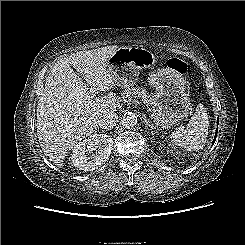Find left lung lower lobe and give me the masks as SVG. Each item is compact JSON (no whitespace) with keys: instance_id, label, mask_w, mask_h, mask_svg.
Segmentation results:
<instances>
[{"instance_id":"1","label":"left lung lower lobe","mask_w":245,"mask_h":245,"mask_svg":"<svg viewBox=\"0 0 245 245\" xmlns=\"http://www.w3.org/2000/svg\"><path fill=\"white\" fill-rule=\"evenodd\" d=\"M218 121H219V119H217V125H218ZM217 131H218V128H217V130H216L215 137H214V140H213V143H212V144H214V142H215V140H216Z\"/></svg>"}]
</instances>
